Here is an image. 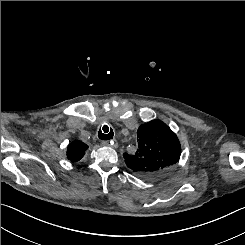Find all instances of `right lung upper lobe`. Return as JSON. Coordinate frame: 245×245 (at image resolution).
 I'll use <instances>...</instances> for the list:
<instances>
[{
    "instance_id": "right-lung-upper-lobe-1",
    "label": "right lung upper lobe",
    "mask_w": 245,
    "mask_h": 245,
    "mask_svg": "<svg viewBox=\"0 0 245 245\" xmlns=\"http://www.w3.org/2000/svg\"><path fill=\"white\" fill-rule=\"evenodd\" d=\"M87 149L88 146L85 143L75 140L67 148V158L71 162H77L85 155Z\"/></svg>"
}]
</instances>
